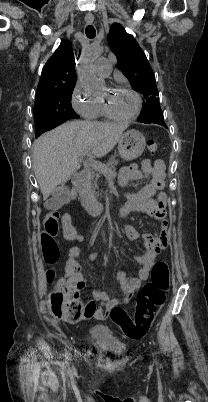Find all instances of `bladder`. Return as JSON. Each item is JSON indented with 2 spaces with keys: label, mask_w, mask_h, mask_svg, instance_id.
I'll return each instance as SVG.
<instances>
[{
  "label": "bladder",
  "mask_w": 208,
  "mask_h": 402,
  "mask_svg": "<svg viewBox=\"0 0 208 402\" xmlns=\"http://www.w3.org/2000/svg\"><path fill=\"white\" fill-rule=\"evenodd\" d=\"M89 338L97 348L107 349L113 353L114 357L121 358L124 351V344L110 335V329L108 326H91L89 329Z\"/></svg>",
  "instance_id": "31cf9c89"
}]
</instances>
